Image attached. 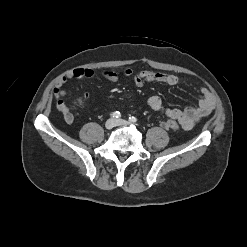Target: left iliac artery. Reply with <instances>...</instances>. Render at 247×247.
<instances>
[{"instance_id": "44dca946", "label": "left iliac artery", "mask_w": 247, "mask_h": 247, "mask_svg": "<svg viewBox=\"0 0 247 247\" xmlns=\"http://www.w3.org/2000/svg\"><path fill=\"white\" fill-rule=\"evenodd\" d=\"M129 121L132 123H136L137 119H136V117L132 116V117H129Z\"/></svg>"}]
</instances>
